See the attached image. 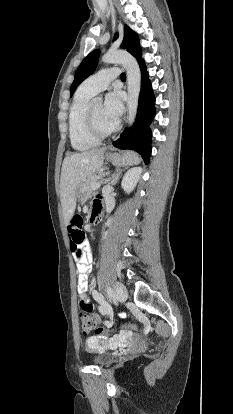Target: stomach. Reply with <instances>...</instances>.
Wrapping results in <instances>:
<instances>
[{"mask_svg": "<svg viewBox=\"0 0 233 414\" xmlns=\"http://www.w3.org/2000/svg\"><path fill=\"white\" fill-rule=\"evenodd\" d=\"M105 157L107 161H110L113 165L116 166L131 165L134 161L133 155H129L127 153H125L124 155H119L117 153H107ZM76 196L78 200L81 202H85L88 199L89 195L87 193V187L85 182H82L78 186L76 190Z\"/></svg>", "mask_w": 233, "mask_h": 414, "instance_id": "1", "label": "stomach"}]
</instances>
